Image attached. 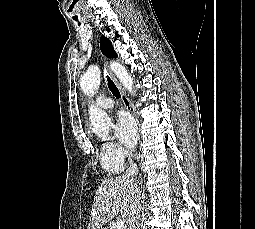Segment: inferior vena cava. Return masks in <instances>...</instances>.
<instances>
[{
  "label": "inferior vena cava",
  "mask_w": 255,
  "mask_h": 229,
  "mask_svg": "<svg viewBox=\"0 0 255 229\" xmlns=\"http://www.w3.org/2000/svg\"><path fill=\"white\" fill-rule=\"evenodd\" d=\"M137 174H138V167L136 164H132L123 174V177L134 182L136 181L135 177ZM140 210H141V194L140 192H137L130 206V209L127 213L124 229H136L137 216Z\"/></svg>",
  "instance_id": "obj_1"
}]
</instances>
